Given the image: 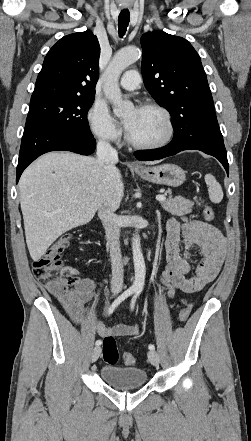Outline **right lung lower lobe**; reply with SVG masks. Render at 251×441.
<instances>
[{
	"instance_id": "98d812e1",
	"label": "right lung lower lobe",
	"mask_w": 251,
	"mask_h": 441,
	"mask_svg": "<svg viewBox=\"0 0 251 441\" xmlns=\"http://www.w3.org/2000/svg\"><path fill=\"white\" fill-rule=\"evenodd\" d=\"M96 141L92 134L78 135L50 124L26 120L21 141L16 183L24 169L40 155L50 151H71L90 155L95 150Z\"/></svg>"
}]
</instances>
